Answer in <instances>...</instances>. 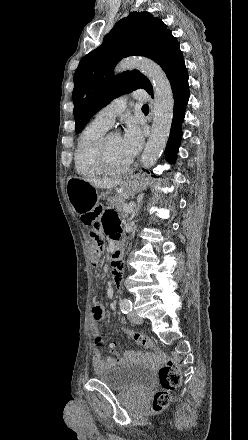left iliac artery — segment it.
<instances>
[{"label": "left iliac artery", "mask_w": 248, "mask_h": 440, "mask_svg": "<svg viewBox=\"0 0 248 440\" xmlns=\"http://www.w3.org/2000/svg\"><path fill=\"white\" fill-rule=\"evenodd\" d=\"M120 308L122 313L127 314L132 310V302L129 299L124 298L123 300H121Z\"/></svg>", "instance_id": "44dca946"}]
</instances>
